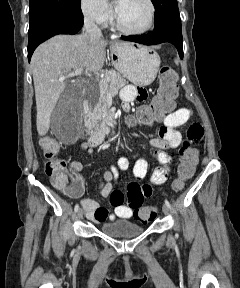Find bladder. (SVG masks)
Here are the masks:
<instances>
[{
  "mask_svg": "<svg viewBox=\"0 0 240 288\" xmlns=\"http://www.w3.org/2000/svg\"><path fill=\"white\" fill-rule=\"evenodd\" d=\"M102 233L115 238H131L143 233L144 228L130 220H114L101 227Z\"/></svg>",
  "mask_w": 240,
  "mask_h": 288,
  "instance_id": "31cf9c89",
  "label": "bladder"
}]
</instances>
